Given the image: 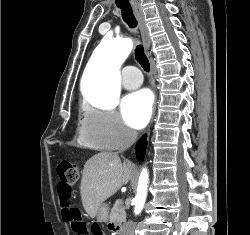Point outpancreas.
Segmentation results:
<instances>
[{
    "label": "pancreas",
    "mask_w": 250,
    "mask_h": 235,
    "mask_svg": "<svg viewBox=\"0 0 250 235\" xmlns=\"http://www.w3.org/2000/svg\"><path fill=\"white\" fill-rule=\"evenodd\" d=\"M125 219V209L123 207L122 201L119 200V202L116 203L111 209L109 220L111 222L122 223L125 221Z\"/></svg>",
    "instance_id": "obj_1"
}]
</instances>
